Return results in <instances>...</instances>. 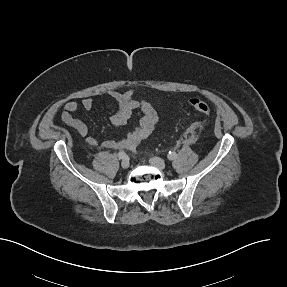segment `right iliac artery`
Listing matches in <instances>:
<instances>
[{
  "label": "right iliac artery",
  "mask_w": 287,
  "mask_h": 287,
  "mask_svg": "<svg viewBox=\"0 0 287 287\" xmlns=\"http://www.w3.org/2000/svg\"><path fill=\"white\" fill-rule=\"evenodd\" d=\"M118 157H119V159H124V158L126 157L125 152L120 151V152L118 153Z\"/></svg>",
  "instance_id": "right-iliac-artery-1"
}]
</instances>
